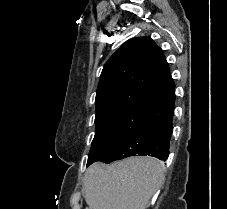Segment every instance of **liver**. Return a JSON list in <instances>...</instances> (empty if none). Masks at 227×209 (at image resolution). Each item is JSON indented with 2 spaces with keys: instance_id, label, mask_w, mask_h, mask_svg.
Wrapping results in <instances>:
<instances>
[{
  "instance_id": "obj_1",
  "label": "liver",
  "mask_w": 227,
  "mask_h": 209,
  "mask_svg": "<svg viewBox=\"0 0 227 209\" xmlns=\"http://www.w3.org/2000/svg\"><path fill=\"white\" fill-rule=\"evenodd\" d=\"M164 165L153 157H129L112 165L93 163L84 177L89 209H146L158 191Z\"/></svg>"
}]
</instances>
